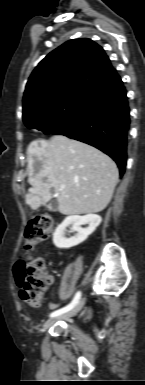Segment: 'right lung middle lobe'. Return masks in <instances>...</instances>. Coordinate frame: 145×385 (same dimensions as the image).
I'll list each match as a JSON object with an SVG mask.
<instances>
[{
	"label": "right lung middle lobe",
	"instance_id": "1",
	"mask_svg": "<svg viewBox=\"0 0 145 385\" xmlns=\"http://www.w3.org/2000/svg\"><path fill=\"white\" fill-rule=\"evenodd\" d=\"M95 93L87 89L69 90L31 109L23 115V121L28 128L51 134L82 110Z\"/></svg>",
	"mask_w": 145,
	"mask_h": 385
}]
</instances>
